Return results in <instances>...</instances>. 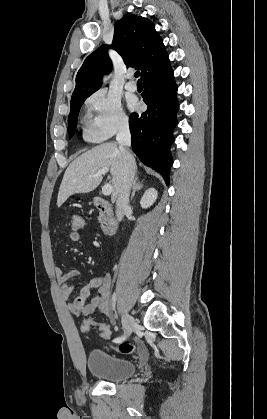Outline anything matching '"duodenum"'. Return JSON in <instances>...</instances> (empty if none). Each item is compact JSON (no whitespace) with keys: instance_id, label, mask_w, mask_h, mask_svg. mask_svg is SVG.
<instances>
[{"instance_id":"410a0bca","label":"duodenum","mask_w":267,"mask_h":419,"mask_svg":"<svg viewBox=\"0 0 267 419\" xmlns=\"http://www.w3.org/2000/svg\"><path fill=\"white\" fill-rule=\"evenodd\" d=\"M95 207L101 214L102 224L101 228L105 235H111L118 226L115 210L109 202L101 197H95L93 199Z\"/></svg>"}]
</instances>
